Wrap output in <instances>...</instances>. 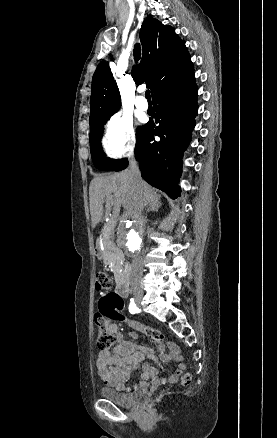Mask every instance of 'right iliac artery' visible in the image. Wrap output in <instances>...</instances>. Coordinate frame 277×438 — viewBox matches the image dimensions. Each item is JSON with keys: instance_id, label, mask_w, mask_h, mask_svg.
I'll return each mask as SVG.
<instances>
[{"instance_id": "82829eb1", "label": "right iliac artery", "mask_w": 277, "mask_h": 438, "mask_svg": "<svg viewBox=\"0 0 277 438\" xmlns=\"http://www.w3.org/2000/svg\"><path fill=\"white\" fill-rule=\"evenodd\" d=\"M129 311L131 314H135L138 312V308L133 298L130 300Z\"/></svg>"}]
</instances>
